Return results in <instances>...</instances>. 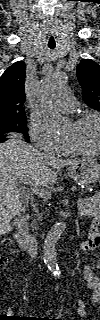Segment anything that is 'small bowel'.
Here are the masks:
<instances>
[{
    "label": "small bowel",
    "mask_w": 100,
    "mask_h": 320,
    "mask_svg": "<svg viewBox=\"0 0 100 320\" xmlns=\"http://www.w3.org/2000/svg\"><path fill=\"white\" fill-rule=\"evenodd\" d=\"M96 198L97 195H94L93 197L81 198L78 202V206L81 211L87 214H92L96 205ZM94 228H98V221H95L92 225V230ZM84 247L86 249H93L87 247V242L85 243ZM97 268L100 269V264H98ZM82 274L87 287L92 291V303H97L100 299V277L95 273V268L92 265L86 266ZM78 312L80 315H84V304L82 302H79Z\"/></svg>",
    "instance_id": "c3829d8e"
}]
</instances>
